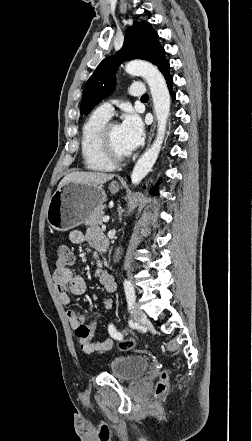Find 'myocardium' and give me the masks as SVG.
<instances>
[{
	"label": "myocardium",
	"mask_w": 252,
	"mask_h": 441,
	"mask_svg": "<svg viewBox=\"0 0 252 441\" xmlns=\"http://www.w3.org/2000/svg\"><path fill=\"white\" fill-rule=\"evenodd\" d=\"M114 125L117 124L115 122H107L103 126L99 135V149L103 158L107 162H109L113 166H119L127 160L128 155H118L112 149V146L110 144V130Z\"/></svg>",
	"instance_id": "f54148a6"
}]
</instances>
